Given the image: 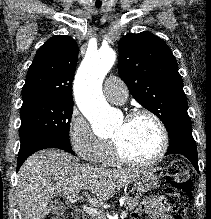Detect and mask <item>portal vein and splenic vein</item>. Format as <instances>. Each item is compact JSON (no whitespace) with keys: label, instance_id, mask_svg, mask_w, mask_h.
<instances>
[{"label":"portal vein and splenic vein","instance_id":"obj_1","mask_svg":"<svg viewBox=\"0 0 211 219\" xmlns=\"http://www.w3.org/2000/svg\"><path fill=\"white\" fill-rule=\"evenodd\" d=\"M68 198H69V201L73 204L82 199V197L79 195H70ZM82 208L87 214L94 216V217H98L99 214L101 213L100 211L94 208L87 207V206H83ZM126 216H127V212L123 211L120 217L121 219H124L126 218Z\"/></svg>","mask_w":211,"mask_h":219}]
</instances>
